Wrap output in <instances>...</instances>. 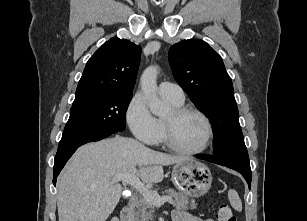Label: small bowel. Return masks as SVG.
<instances>
[{
	"mask_svg": "<svg viewBox=\"0 0 307 221\" xmlns=\"http://www.w3.org/2000/svg\"><path fill=\"white\" fill-rule=\"evenodd\" d=\"M111 221H117L113 218ZM172 221H213L212 219H204L199 216L190 214L184 209H176L172 212Z\"/></svg>",
	"mask_w": 307,
	"mask_h": 221,
	"instance_id": "1",
	"label": "small bowel"
}]
</instances>
